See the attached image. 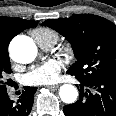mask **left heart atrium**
Masks as SVG:
<instances>
[{
  "instance_id": "1",
  "label": "left heart atrium",
  "mask_w": 116,
  "mask_h": 116,
  "mask_svg": "<svg viewBox=\"0 0 116 116\" xmlns=\"http://www.w3.org/2000/svg\"><path fill=\"white\" fill-rule=\"evenodd\" d=\"M62 68L60 60L52 58L33 66L25 75L24 80L29 85L52 84L58 80Z\"/></svg>"
}]
</instances>
